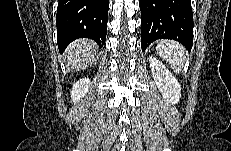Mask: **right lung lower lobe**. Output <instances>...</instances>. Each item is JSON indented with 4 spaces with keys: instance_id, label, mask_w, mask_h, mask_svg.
Wrapping results in <instances>:
<instances>
[{
    "instance_id": "obj_1",
    "label": "right lung lower lobe",
    "mask_w": 231,
    "mask_h": 151,
    "mask_svg": "<svg viewBox=\"0 0 231 151\" xmlns=\"http://www.w3.org/2000/svg\"><path fill=\"white\" fill-rule=\"evenodd\" d=\"M109 0H59L56 14L57 43L63 53L78 38L105 44Z\"/></svg>"
}]
</instances>
